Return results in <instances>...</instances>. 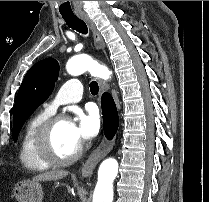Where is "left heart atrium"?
Returning a JSON list of instances; mask_svg holds the SVG:
<instances>
[{
    "mask_svg": "<svg viewBox=\"0 0 209 202\" xmlns=\"http://www.w3.org/2000/svg\"><path fill=\"white\" fill-rule=\"evenodd\" d=\"M70 126L75 141L81 146L97 133L98 115L94 110H90L86 114L79 112L70 122Z\"/></svg>",
    "mask_w": 209,
    "mask_h": 202,
    "instance_id": "left-heart-atrium-1",
    "label": "left heart atrium"
}]
</instances>
